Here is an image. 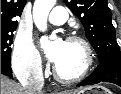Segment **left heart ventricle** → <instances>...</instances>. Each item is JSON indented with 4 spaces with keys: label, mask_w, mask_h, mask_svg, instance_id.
Listing matches in <instances>:
<instances>
[{
    "label": "left heart ventricle",
    "mask_w": 121,
    "mask_h": 94,
    "mask_svg": "<svg viewBox=\"0 0 121 94\" xmlns=\"http://www.w3.org/2000/svg\"><path fill=\"white\" fill-rule=\"evenodd\" d=\"M84 60V51L79 44L65 42L63 52L55 65L63 76H72L80 72Z\"/></svg>",
    "instance_id": "1"
}]
</instances>
